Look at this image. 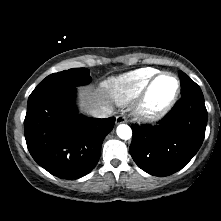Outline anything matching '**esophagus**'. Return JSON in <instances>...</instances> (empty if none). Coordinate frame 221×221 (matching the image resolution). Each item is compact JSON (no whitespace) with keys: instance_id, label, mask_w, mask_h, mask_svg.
<instances>
[{"instance_id":"34e87169","label":"esophagus","mask_w":221,"mask_h":221,"mask_svg":"<svg viewBox=\"0 0 221 221\" xmlns=\"http://www.w3.org/2000/svg\"><path fill=\"white\" fill-rule=\"evenodd\" d=\"M127 122V119L124 115H118L116 117V124H121Z\"/></svg>"}]
</instances>
